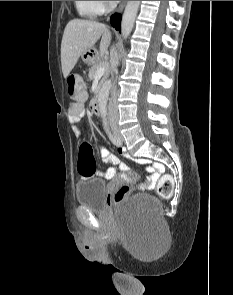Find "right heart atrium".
<instances>
[{
  "label": "right heart atrium",
  "mask_w": 233,
  "mask_h": 295,
  "mask_svg": "<svg viewBox=\"0 0 233 295\" xmlns=\"http://www.w3.org/2000/svg\"><path fill=\"white\" fill-rule=\"evenodd\" d=\"M98 3L101 10L103 11L108 7V5L110 4V1H98Z\"/></svg>",
  "instance_id": "d8ad5b80"
}]
</instances>
